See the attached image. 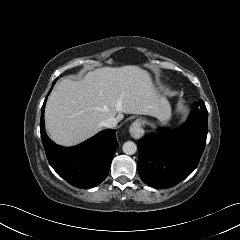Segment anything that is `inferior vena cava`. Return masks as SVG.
<instances>
[{
  "instance_id": "obj_1",
  "label": "inferior vena cava",
  "mask_w": 240,
  "mask_h": 240,
  "mask_svg": "<svg viewBox=\"0 0 240 240\" xmlns=\"http://www.w3.org/2000/svg\"><path fill=\"white\" fill-rule=\"evenodd\" d=\"M118 124V120L115 117H110L102 122V126L106 128H114Z\"/></svg>"
}]
</instances>
